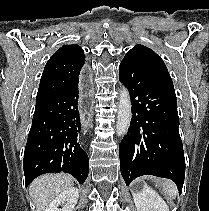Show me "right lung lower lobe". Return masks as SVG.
Returning a JSON list of instances; mask_svg holds the SVG:
<instances>
[{
  "instance_id": "98d812e1",
  "label": "right lung lower lobe",
  "mask_w": 209,
  "mask_h": 211,
  "mask_svg": "<svg viewBox=\"0 0 209 211\" xmlns=\"http://www.w3.org/2000/svg\"><path fill=\"white\" fill-rule=\"evenodd\" d=\"M81 130L78 83L35 108L24 159L26 187L39 175L67 172L83 183L88 156L77 141Z\"/></svg>"
}]
</instances>
